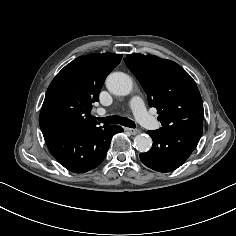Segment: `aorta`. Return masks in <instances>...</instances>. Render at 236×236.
Returning a JSON list of instances; mask_svg holds the SVG:
<instances>
[{"mask_svg": "<svg viewBox=\"0 0 236 236\" xmlns=\"http://www.w3.org/2000/svg\"><path fill=\"white\" fill-rule=\"evenodd\" d=\"M106 87L112 94L126 96L131 93L133 83L129 75L113 72L106 79ZM134 144L138 151L147 152L152 146V139L146 134H140L135 137Z\"/></svg>", "mask_w": 236, "mask_h": 236, "instance_id": "aorta-1", "label": "aorta"}]
</instances>
